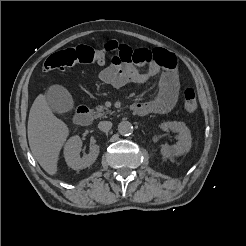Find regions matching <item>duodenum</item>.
<instances>
[{
	"label": "duodenum",
	"mask_w": 246,
	"mask_h": 246,
	"mask_svg": "<svg viewBox=\"0 0 246 246\" xmlns=\"http://www.w3.org/2000/svg\"><path fill=\"white\" fill-rule=\"evenodd\" d=\"M132 109L135 110V106H132ZM91 121V113L87 106L81 105L77 107L76 113L74 115V123L78 126H86Z\"/></svg>",
	"instance_id": "410a0bca"
}]
</instances>
